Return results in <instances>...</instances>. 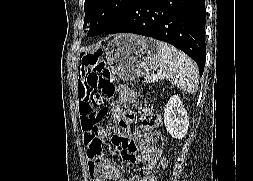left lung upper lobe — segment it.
Returning a JSON list of instances; mask_svg holds the SVG:
<instances>
[{"mask_svg": "<svg viewBox=\"0 0 253 181\" xmlns=\"http://www.w3.org/2000/svg\"><path fill=\"white\" fill-rule=\"evenodd\" d=\"M132 0H85L84 28L87 36L104 33L125 13Z\"/></svg>", "mask_w": 253, "mask_h": 181, "instance_id": "1", "label": "left lung upper lobe"}]
</instances>
